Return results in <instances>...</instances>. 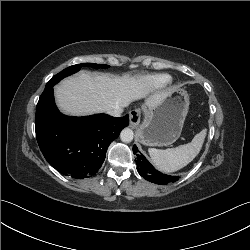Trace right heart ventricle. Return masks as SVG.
<instances>
[{"instance_id": "right-heart-ventricle-1", "label": "right heart ventricle", "mask_w": 250, "mask_h": 250, "mask_svg": "<svg viewBox=\"0 0 250 250\" xmlns=\"http://www.w3.org/2000/svg\"><path fill=\"white\" fill-rule=\"evenodd\" d=\"M171 77L165 73L147 75L142 79L145 86L150 89H159L170 83Z\"/></svg>"}]
</instances>
